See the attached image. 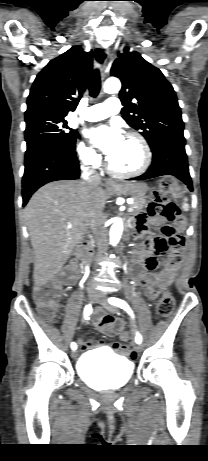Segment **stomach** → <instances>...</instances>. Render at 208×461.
Listing matches in <instances>:
<instances>
[{
    "instance_id": "0dacf381",
    "label": "stomach",
    "mask_w": 208,
    "mask_h": 461,
    "mask_svg": "<svg viewBox=\"0 0 208 461\" xmlns=\"http://www.w3.org/2000/svg\"><path fill=\"white\" fill-rule=\"evenodd\" d=\"M148 190L149 187L144 182L117 183L111 188V191L116 194L130 195L134 199H140L145 197Z\"/></svg>"
}]
</instances>
